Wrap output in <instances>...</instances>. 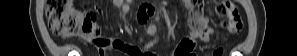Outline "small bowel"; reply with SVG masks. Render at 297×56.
I'll list each match as a JSON object with an SVG mask.
<instances>
[{"label":"small bowel","instance_id":"obj_1","mask_svg":"<svg viewBox=\"0 0 297 56\" xmlns=\"http://www.w3.org/2000/svg\"><path fill=\"white\" fill-rule=\"evenodd\" d=\"M113 3L117 7H122L125 14L129 13L131 0H113ZM186 6L190 10L189 26L192 34L179 43L172 51V56H194L193 48L196 39L199 38L204 42H210L211 36L215 33V31L209 27V16L202 11L201 3L188 0L186 1ZM153 13L154 9L152 6H143L138 14L139 22L145 23ZM85 41H88V45H94V49H99L101 56H103L105 51L110 47L122 50L131 56H156V54L153 53H141L134 46L119 40L109 41L107 40V36H96V33H86Z\"/></svg>","mask_w":297,"mask_h":56}]
</instances>
